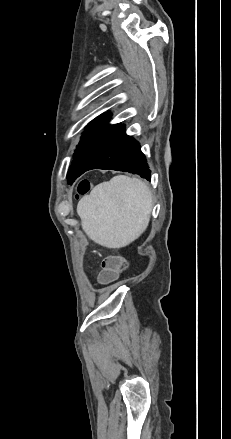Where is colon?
<instances>
[{"mask_svg":"<svg viewBox=\"0 0 231 439\" xmlns=\"http://www.w3.org/2000/svg\"><path fill=\"white\" fill-rule=\"evenodd\" d=\"M90 189V183L88 180H82L78 185V193L85 194ZM125 260L118 255H110L105 257L101 262V270L97 276L99 284L102 287H109L114 285L120 279L119 272L124 267Z\"/></svg>","mask_w":231,"mask_h":439,"instance_id":"colon-1","label":"colon"}]
</instances>
